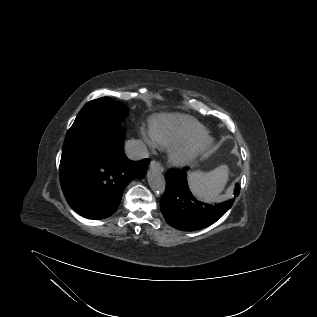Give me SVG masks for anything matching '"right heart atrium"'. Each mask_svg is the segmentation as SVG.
I'll list each match as a JSON object with an SVG mask.
<instances>
[{
    "instance_id": "d8ad5b80",
    "label": "right heart atrium",
    "mask_w": 317,
    "mask_h": 317,
    "mask_svg": "<svg viewBox=\"0 0 317 317\" xmlns=\"http://www.w3.org/2000/svg\"><path fill=\"white\" fill-rule=\"evenodd\" d=\"M140 134L144 140V142L147 144L150 148H155L157 146V143L155 142L154 138L152 137L151 131L141 127L140 128Z\"/></svg>"
}]
</instances>
